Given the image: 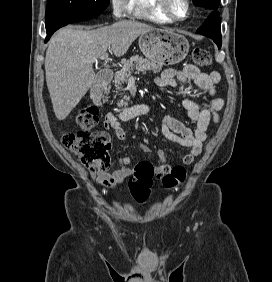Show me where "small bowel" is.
<instances>
[{
  "instance_id": "obj_1",
  "label": "small bowel",
  "mask_w": 272,
  "mask_h": 282,
  "mask_svg": "<svg viewBox=\"0 0 272 282\" xmlns=\"http://www.w3.org/2000/svg\"><path fill=\"white\" fill-rule=\"evenodd\" d=\"M177 80L187 89L195 85L200 91L207 93L204 101L200 104L185 98L182 101L188 117L195 123L193 130L184 123L171 116H164L161 120L162 136L169 142L190 151L181 158L182 164H191L199 156L203 142L207 138V130L211 121L219 122V111L224 106V99L216 97V84L220 80L218 72L210 74L202 72L197 66L188 64L182 69H165L154 79V84L159 87L175 86ZM105 128L114 130L116 137L125 141L126 134L121 123L114 113H108L104 121ZM145 153H150V148L144 143H139ZM117 168L112 171H98L89 169L91 178L104 189L117 188L131 173L130 158L117 157ZM173 166L169 164L162 151L158 152V159L154 165L155 175L160 178L171 171Z\"/></svg>"
}]
</instances>
